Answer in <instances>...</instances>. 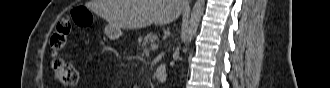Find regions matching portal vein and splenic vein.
<instances>
[{
    "label": "portal vein and splenic vein",
    "instance_id": "obj_1",
    "mask_svg": "<svg viewBox=\"0 0 330 88\" xmlns=\"http://www.w3.org/2000/svg\"><path fill=\"white\" fill-rule=\"evenodd\" d=\"M151 49H152V50L158 49V44H154V43H153V44L151 45Z\"/></svg>",
    "mask_w": 330,
    "mask_h": 88
}]
</instances>
